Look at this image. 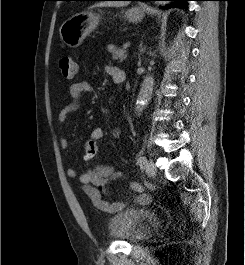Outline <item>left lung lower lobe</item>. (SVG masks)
<instances>
[{
	"label": "left lung lower lobe",
	"instance_id": "left-lung-lower-lobe-1",
	"mask_svg": "<svg viewBox=\"0 0 245 265\" xmlns=\"http://www.w3.org/2000/svg\"><path fill=\"white\" fill-rule=\"evenodd\" d=\"M91 1H97V0H91ZM124 1H174L175 3L171 7H180L183 9H187V1L191 0H124Z\"/></svg>",
	"mask_w": 245,
	"mask_h": 265
}]
</instances>
